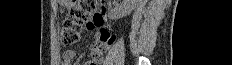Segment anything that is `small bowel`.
I'll use <instances>...</instances> for the list:
<instances>
[{
	"label": "small bowel",
	"instance_id": "small-bowel-1",
	"mask_svg": "<svg viewBox=\"0 0 232 65\" xmlns=\"http://www.w3.org/2000/svg\"><path fill=\"white\" fill-rule=\"evenodd\" d=\"M86 28L88 30L97 29V37H106L105 41L113 36L111 28L105 24L104 13L97 12L92 18L87 22ZM75 57V51L73 49H67L63 53L62 65H71L72 60ZM79 65V64H76ZM84 65H104L103 62H87Z\"/></svg>",
	"mask_w": 232,
	"mask_h": 65
}]
</instances>
